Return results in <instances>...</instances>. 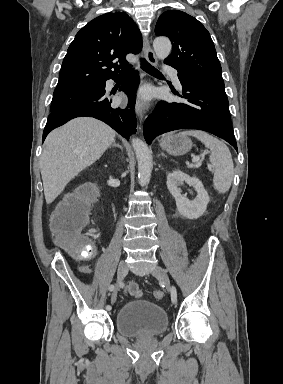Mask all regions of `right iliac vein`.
Masks as SVG:
<instances>
[{
  "mask_svg": "<svg viewBox=\"0 0 283 384\" xmlns=\"http://www.w3.org/2000/svg\"><path fill=\"white\" fill-rule=\"evenodd\" d=\"M127 271H128L127 264L124 261H121L119 263V266H118L117 283H116V288L114 289L113 294H112V302L116 301L119 285L122 282L123 278L126 276Z\"/></svg>",
  "mask_w": 283,
  "mask_h": 384,
  "instance_id": "right-iliac-vein-1",
  "label": "right iliac vein"
}]
</instances>
